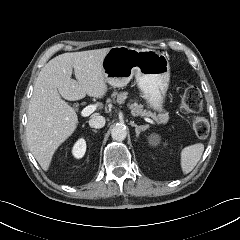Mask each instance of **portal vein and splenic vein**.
I'll list each match as a JSON object with an SVG mask.
<instances>
[{"mask_svg": "<svg viewBox=\"0 0 240 240\" xmlns=\"http://www.w3.org/2000/svg\"><path fill=\"white\" fill-rule=\"evenodd\" d=\"M96 109H97V105H88L81 111V115L83 117H87L90 114H92ZM144 119H145L146 122H148L150 124H153V125H156V122L153 121L152 119L147 118V117H145Z\"/></svg>", "mask_w": 240, "mask_h": 240, "instance_id": "portal-vein-and-splenic-vein-1", "label": "portal vein and splenic vein"}]
</instances>
